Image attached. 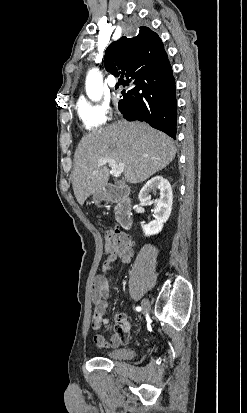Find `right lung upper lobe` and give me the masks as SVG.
Masks as SVG:
<instances>
[{
  "mask_svg": "<svg viewBox=\"0 0 247 413\" xmlns=\"http://www.w3.org/2000/svg\"><path fill=\"white\" fill-rule=\"evenodd\" d=\"M168 61L159 36L148 27L141 26L134 37H121L106 49L105 68L112 74L127 78L155 70Z\"/></svg>",
  "mask_w": 247,
  "mask_h": 413,
  "instance_id": "right-lung-upper-lobe-1",
  "label": "right lung upper lobe"
}]
</instances>
